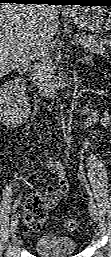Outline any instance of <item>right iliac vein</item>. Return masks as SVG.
<instances>
[{"instance_id": "right-iliac-vein-1", "label": "right iliac vein", "mask_w": 111, "mask_h": 257, "mask_svg": "<svg viewBox=\"0 0 111 257\" xmlns=\"http://www.w3.org/2000/svg\"><path fill=\"white\" fill-rule=\"evenodd\" d=\"M18 226V216L16 215L11 221V232H15Z\"/></svg>"}]
</instances>
